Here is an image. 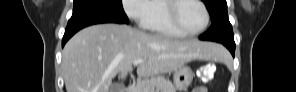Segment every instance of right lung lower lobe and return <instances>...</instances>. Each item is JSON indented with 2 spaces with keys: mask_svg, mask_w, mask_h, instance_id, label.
Returning a JSON list of instances; mask_svg holds the SVG:
<instances>
[{
  "mask_svg": "<svg viewBox=\"0 0 296 92\" xmlns=\"http://www.w3.org/2000/svg\"><path fill=\"white\" fill-rule=\"evenodd\" d=\"M100 23H119L122 24L123 22L118 21L116 19L101 16V15H82L77 17H71L68 25L65 30V34L62 39V46L67 42V40L74 35L80 29L93 25V24H100Z\"/></svg>",
  "mask_w": 296,
  "mask_h": 92,
  "instance_id": "98d812e1",
  "label": "right lung lower lobe"
}]
</instances>
